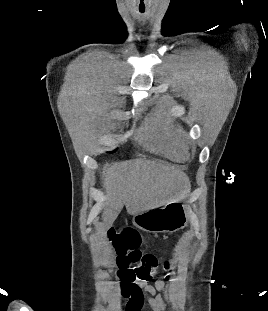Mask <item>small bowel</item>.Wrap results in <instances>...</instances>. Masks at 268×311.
<instances>
[{
	"instance_id": "c3829d8e",
	"label": "small bowel",
	"mask_w": 268,
	"mask_h": 311,
	"mask_svg": "<svg viewBox=\"0 0 268 311\" xmlns=\"http://www.w3.org/2000/svg\"><path fill=\"white\" fill-rule=\"evenodd\" d=\"M165 286L166 280H158L154 284L146 280H138L135 282L136 291L125 296L121 285L120 294L128 299L125 311H142L145 303L153 311H166V303L161 294Z\"/></svg>"
}]
</instances>
